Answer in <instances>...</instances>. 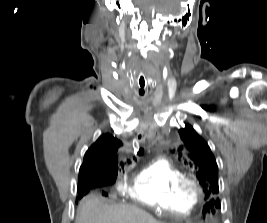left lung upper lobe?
<instances>
[{
  "mask_svg": "<svg viewBox=\"0 0 267 223\" xmlns=\"http://www.w3.org/2000/svg\"><path fill=\"white\" fill-rule=\"evenodd\" d=\"M179 134L185 144L181 155L193 168L206 197L218 193V167L208 144L189 124L181 128ZM220 206L219 199L209 198L203 211L214 213Z\"/></svg>",
  "mask_w": 267,
  "mask_h": 223,
  "instance_id": "5c2ea615",
  "label": "left lung upper lobe"
}]
</instances>
